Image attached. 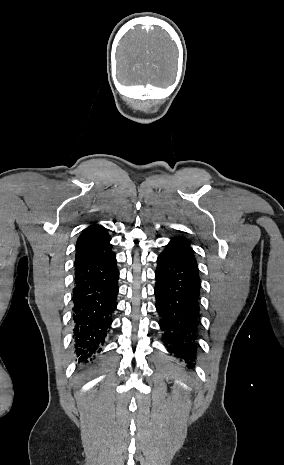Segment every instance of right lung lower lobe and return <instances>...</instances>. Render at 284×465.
<instances>
[{
	"label": "right lung lower lobe",
	"mask_w": 284,
	"mask_h": 465,
	"mask_svg": "<svg viewBox=\"0 0 284 465\" xmlns=\"http://www.w3.org/2000/svg\"><path fill=\"white\" fill-rule=\"evenodd\" d=\"M110 240L75 260L74 338L77 356L84 362L96 351L101 352L117 306L119 271Z\"/></svg>",
	"instance_id": "right-lung-lower-lobe-1"
}]
</instances>
